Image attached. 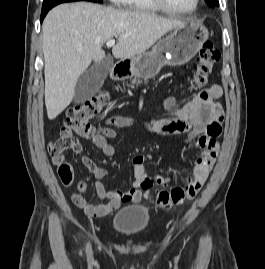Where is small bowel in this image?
Wrapping results in <instances>:
<instances>
[{
    "mask_svg": "<svg viewBox=\"0 0 265 269\" xmlns=\"http://www.w3.org/2000/svg\"><path fill=\"white\" fill-rule=\"evenodd\" d=\"M222 95V89L218 85L198 93L192 100L180 102L173 97L167 98L163 103L164 116L156 117L150 122L145 123L148 132L157 135H177L187 134L189 141H194L201 148L195 161L193 185L200 190L208 178L212 166L219 151L217 137L208 134L210 125L213 122L223 120V110L216 102ZM132 125V122L122 117H110L106 119L101 130L89 137V141L104 155L112 157L115 154L114 147L108 142V138H114L116 132L114 128H123ZM72 150L74 153L81 152V145L76 140ZM150 158L149 155H136L132 158L134 168V181L128 190L107 189L103 180L108 175V170L104 167L96 166L91 159L83 157V164L88 168L95 180V188L101 203H91L83 195L85 183H79L80 193L72 195V202L92 217L106 216L112 211L117 210L121 203H138L143 191L151 187L153 179L146 172L145 162ZM158 184H166L168 178L159 177L155 179Z\"/></svg>",
    "mask_w": 265,
    "mask_h": 269,
    "instance_id": "small-bowel-1",
    "label": "small bowel"
}]
</instances>
